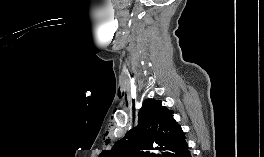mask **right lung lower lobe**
Returning <instances> with one entry per match:
<instances>
[{
  "mask_svg": "<svg viewBox=\"0 0 264 157\" xmlns=\"http://www.w3.org/2000/svg\"><path fill=\"white\" fill-rule=\"evenodd\" d=\"M164 157H192V154L184 139L175 148L168 152Z\"/></svg>",
  "mask_w": 264,
  "mask_h": 157,
  "instance_id": "1",
  "label": "right lung lower lobe"
}]
</instances>
